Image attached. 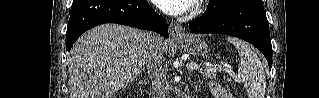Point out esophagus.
<instances>
[{"mask_svg": "<svg viewBox=\"0 0 319 98\" xmlns=\"http://www.w3.org/2000/svg\"><path fill=\"white\" fill-rule=\"evenodd\" d=\"M169 32L173 41H180L185 37V31L182 26L176 22L169 25Z\"/></svg>", "mask_w": 319, "mask_h": 98, "instance_id": "1", "label": "esophagus"}]
</instances>
